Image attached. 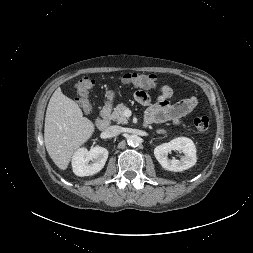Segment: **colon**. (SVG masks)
<instances>
[{
    "instance_id": "1",
    "label": "colon",
    "mask_w": 253,
    "mask_h": 253,
    "mask_svg": "<svg viewBox=\"0 0 253 253\" xmlns=\"http://www.w3.org/2000/svg\"><path fill=\"white\" fill-rule=\"evenodd\" d=\"M122 81L125 84L137 87H150L157 81V76L150 73L130 72L123 76ZM95 84V80L89 77L81 78L76 84L75 90L77 94V102L85 113L90 112L91 103L89 101V93ZM194 126L205 131L209 127V118L205 115H199L194 118Z\"/></svg>"
}]
</instances>
